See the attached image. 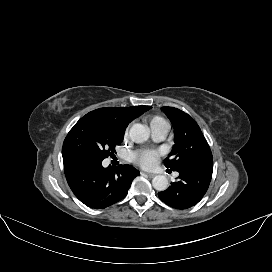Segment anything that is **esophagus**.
Listing matches in <instances>:
<instances>
[{
	"label": "esophagus",
	"instance_id": "34e87169",
	"mask_svg": "<svg viewBox=\"0 0 272 272\" xmlns=\"http://www.w3.org/2000/svg\"><path fill=\"white\" fill-rule=\"evenodd\" d=\"M145 175H147L148 177H150V178H153L154 176H155V174H153V173H144Z\"/></svg>",
	"mask_w": 272,
	"mask_h": 272
}]
</instances>
